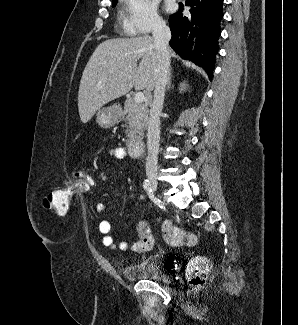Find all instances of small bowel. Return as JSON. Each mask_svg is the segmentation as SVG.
Here are the masks:
<instances>
[{
	"mask_svg": "<svg viewBox=\"0 0 298 325\" xmlns=\"http://www.w3.org/2000/svg\"><path fill=\"white\" fill-rule=\"evenodd\" d=\"M109 156L114 158V159H117V160H123V159H126L127 158V153L126 151L122 148V147H114V148H111L108 152ZM99 177L102 181L106 182V181H109L110 180V174L103 170L99 173ZM108 193L105 192L103 194L104 197H108ZM137 198L140 200V201H144V197L143 195H138ZM96 211L98 213H103L105 211V204L100 202L96 205ZM98 230H99V233L102 235V244L103 246L105 247H109V248H116V244L114 242V239L112 237V235L110 234L111 232V223L107 220H102L100 223H99V226H98ZM149 232V230H148ZM118 247L121 249V250H125L128 248V243L127 242H121Z\"/></svg>",
	"mask_w": 298,
	"mask_h": 325,
	"instance_id": "obj_1",
	"label": "small bowel"
}]
</instances>
